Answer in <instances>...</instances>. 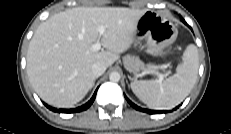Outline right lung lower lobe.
<instances>
[{
	"mask_svg": "<svg viewBox=\"0 0 231 134\" xmlns=\"http://www.w3.org/2000/svg\"><path fill=\"white\" fill-rule=\"evenodd\" d=\"M96 92H97V90H96ZM96 92L94 93V95L92 96V98L86 104H84L83 106H80L78 108H75V109H59V110H57L56 108H52V107L48 106L47 104H45V106L47 108H49L50 110H52L54 112L58 111L59 113L80 112V111H83V110H86L87 108H89V106L94 102L95 97H96Z\"/></svg>",
	"mask_w": 231,
	"mask_h": 134,
	"instance_id": "98d812e1",
	"label": "right lung lower lobe"
}]
</instances>
